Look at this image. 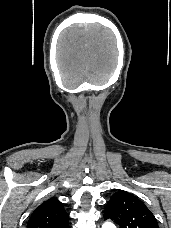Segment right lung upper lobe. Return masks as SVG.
Wrapping results in <instances>:
<instances>
[{
  "label": "right lung upper lobe",
  "instance_id": "obj_1",
  "mask_svg": "<svg viewBox=\"0 0 171 228\" xmlns=\"http://www.w3.org/2000/svg\"><path fill=\"white\" fill-rule=\"evenodd\" d=\"M68 220L62 203L56 198H50L35 209L27 228H69Z\"/></svg>",
  "mask_w": 171,
  "mask_h": 228
}]
</instances>
